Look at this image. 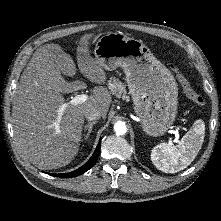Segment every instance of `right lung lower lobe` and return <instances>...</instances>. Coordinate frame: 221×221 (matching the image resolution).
I'll use <instances>...</instances> for the list:
<instances>
[{"instance_id":"obj_1","label":"right lung lower lobe","mask_w":221,"mask_h":221,"mask_svg":"<svg viewBox=\"0 0 221 221\" xmlns=\"http://www.w3.org/2000/svg\"><path fill=\"white\" fill-rule=\"evenodd\" d=\"M100 146H101V143L99 142L92 157L83 166H81L77 170H74L69 173H62V174H51L50 173V175L55 176V177L71 178V177H76V176H79V175L85 173L86 171H88L90 168H92L95 165V162L98 159V156L100 154Z\"/></svg>"}]
</instances>
